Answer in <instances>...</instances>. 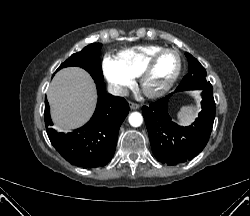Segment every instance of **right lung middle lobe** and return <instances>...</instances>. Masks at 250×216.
<instances>
[{
    "label": "right lung middle lobe",
    "mask_w": 250,
    "mask_h": 216,
    "mask_svg": "<svg viewBox=\"0 0 250 216\" xmlns=\"http://www.w3.org/2000/svg\"><path fill=\"white\" fill-rule=\"evenodd\" d=\"M102 44H90L83 48L82 51L73 54L58 68L68 66H78L90 73L92 78L96 81H103L102 67L100 63V49Z\"/></svg>",
    "instance_id": "1"
}]
</instances>
